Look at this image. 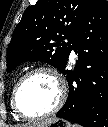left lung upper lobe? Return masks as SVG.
Returning <instances> with one entry per match:
<instances>
[{
    "mask_svg": "<svg viewBox=\"0 0 108 127\" xmlns=\"http://www.w3.org/2000/svg\"><path fill=\"white\" fill-rule=\"evenodd\" d=\"M86 3L87 0H38L27 8L8 47L7 71L20 62L42 61L65 74L73 49L71 43Z\"/></svg>",
    "mask_w": 108,
    "mask_h": 127,
    "instance_id": "1",
    "label": "left lung upper lobe"
}]
</instances>
